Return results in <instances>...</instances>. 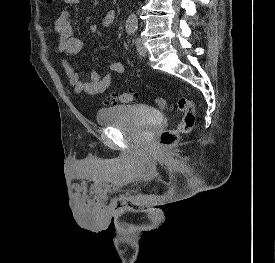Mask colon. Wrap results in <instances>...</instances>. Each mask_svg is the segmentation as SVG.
<instances>
[{"label":"colon","mask_w":275,"mask_h":263,"mask_svg":"<svg viewBox=\"0 0 275 263\" xmlns=\"http://www.w3.org/2000/svg\"><path fill=\"white\" fill-rule=\"evenodd\" d=\"M45 4H52L54 0H42ZM137 94L133 90L123 93H112L107 101L111 104H129L136 101ZM156 104L159 108L167 107V102L163 98H157ZM171 109H176L182 113V119L179 125L174 129L163 131L158 139V145L163 147H171L175 145L181 134L189 133L196 122L195 108L190 99L180 97L174 104L170 105Z\"/></svg>","instance_id":"1"}]
</instances>
